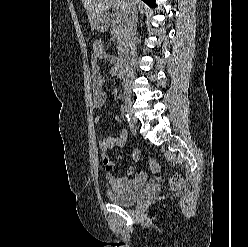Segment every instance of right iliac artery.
<instances>
[{
    "label": "right iliac artery",
    "instance_id": "82829eb1",
    "mask_svg": "<svg viewBox=\"0 0 248 247\" xmlns=\"http://www.w3.org/2000/svg\"><path fill=\"white\" fill-rule=\"evenodd\" d=\"M121 114L124 118L127 119V121H130V118H129V111L127 109V107L125 105H121Z\"/></svg>",
    "mask_w": 248,
    "mask_h": 247
}]
</instances>
